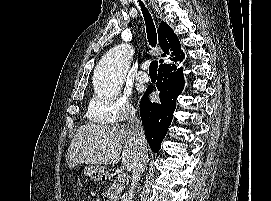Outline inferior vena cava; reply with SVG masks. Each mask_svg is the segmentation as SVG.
<instances>
[{
	"label": "inferior vena cava",
	"instance_id": "1",
	"mask_svg": "<svg viewBox=\"0 0 271 201\" xmlns=\"http://www.w3.org/2000/svg\"><path fill=\"white\" fill-rule=\"evenodd\" d=\"M128 129L136 147V157L132 168V183L130 189L123 196V201H133L134 191L138 185V181L145 170L147 162V140L145 137L142 122L136 117L134 113L130 114L128 120Z\"/></svg>",
	"mask_w": 271,
	"mask_h": 201
}]
</instances>
